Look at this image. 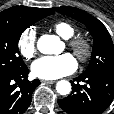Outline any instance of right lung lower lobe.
<instances>
[{"label":"right lung lower lobe","instance_id":"98d812e1","mask_svg":"<svg viewBox=\"0 0 114 114\" xmlns=\"http://www.w3.org/2000/svg\"><path fill=\"white\" fill-rule=\"evenodd\" d=\"M29 70L0 75V114H23L31 104L32 93L40 81H28Z\"/></svg>","mask_w":114,"mask_h":114}]
</instances>
